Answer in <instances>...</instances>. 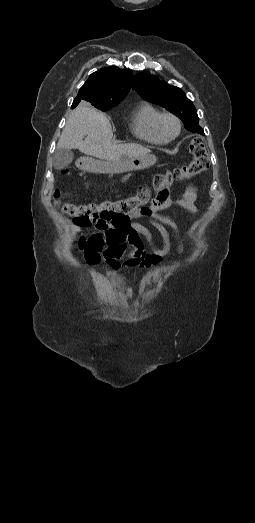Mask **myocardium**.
Returning a JSON list of instances; mask_svg holds the SVG:
<instances>
[{
  "label": "myocardium",
  "mask_w": 255,
  "mask_h": 523,
  "mask_svg": "<svg viewBox=\"0 0 255 523\" xmlns=\"http://www.w3.org/2000/svg\"><path fill=\"white\" fill-rule=\"evenodd\" d=\"M167 120L172 121L176 127V132L171 136L167 135L164 130V124ZM181 128H182V124H181L180 118L172 112L162 113L157 121V129H158L160 135L162 136V138L166 141L175 139L180 134Z\"/></svg>",
  "instance_id": "f54148a6"
}]
</instances>
